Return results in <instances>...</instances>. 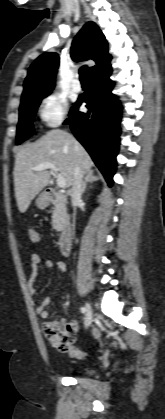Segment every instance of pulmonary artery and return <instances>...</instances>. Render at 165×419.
<instances>
[{
  "mask_svg": "<svg viewBox=\"0 0 165 419\" xmlns=\"http://www.w3.org/2000/svg\"><path fill=\"white\" fill-rule=\"evenodd\" d=\"M79 76L78 75H76V79L74 80V82L72 83V89L75 91V92H79L80 90H81V83H80V81H79Z\"/></svg>",
  "mask_w": 165,
  "mask_h": 419,
  "instance_id": "e3ab8cb5",
  "label": "pulmonary artery"
}]
</instances>
